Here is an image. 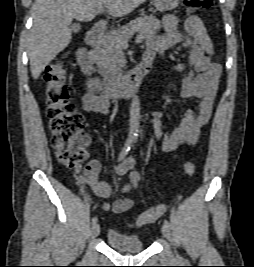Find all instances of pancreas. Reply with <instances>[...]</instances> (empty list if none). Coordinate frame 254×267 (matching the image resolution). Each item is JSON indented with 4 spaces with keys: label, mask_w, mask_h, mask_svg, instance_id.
<instances>
[{
    "label": "pancreas",
    "mask_w": 254,
    "mask_h": 267,
    "mask_svg": "<svg viewBox=\"0 0 254 267\" xmlns=\"http://www.w3.org/2000/svg\"><path fill=\"white\" fill-rule=\"evenodd\" d=\"M160 28L161 23L154 16L139 17L129 25L107 33L100 46L92 51L91 59L101 73L116 75L122 68V49H124L122 43L127 42V36L138 32L144 38H151Z\"/></svg>",
    "instance_id": "1"
}]
</instances>
